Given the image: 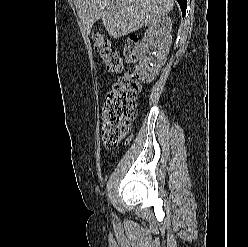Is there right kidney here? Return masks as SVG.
Here are the masks:
<instances>
[{
    "instance_id": "ca27d5eb",
    "label": "right kidney",
    "mask_w": 248,
    "mask_h": 247,
    "mask_svg": "<svg viewBox=\"0 0 248 247\" xmlns=\"http://www.w3.org/2000/svg\"><path fill=\"white\" fill-rule=\"evenodd\" d=\"M172 24V19L167 16L149 24L138 46L140 79L144 83L152 82L166 62L172 41ZM150 50L154 51V57L147 56Z\"/></svg>"
}]
</instances>
